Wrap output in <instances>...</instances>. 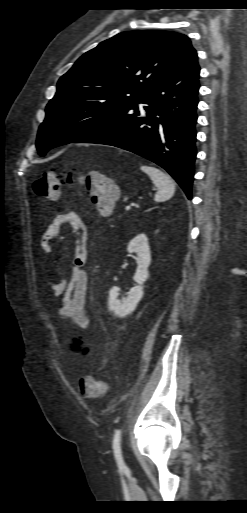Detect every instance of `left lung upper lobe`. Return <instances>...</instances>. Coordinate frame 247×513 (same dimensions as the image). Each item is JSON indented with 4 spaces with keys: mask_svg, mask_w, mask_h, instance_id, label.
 <instances>
[{
    "mask_svg": "<svg viewBox=\"0 0 247 513\" xmlns=\"http://www.w3.org/2000/svg\"><path fill=\"white\" fill-rule=\"evenodd\" d=\"M196 56L187 36L170 31L123 32L101 42L59 79L39 127V155L96 131Z\"/></svg>",
    "mask_w": 247,
    "mask_h": 513,
    "instance_id": "left-lung-upper-lobe-1",
    "label": "left lung upper lobe"
}]
</instances>
